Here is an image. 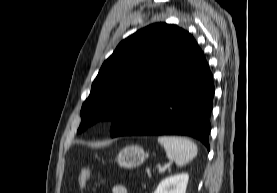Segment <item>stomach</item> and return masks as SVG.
I'll use <instances>...</instances> for the list:
<instances>
[{
    "instance_id": "stomach-1",
    "label": "stomach",
    "mask_w": 277,
    "mask_h": 193,
    "mask_svg": "<svg viewBox=\"0 0 277 193\" xmlns=\"http://www.w3.org/2000/svg\"><path fill=\"white\" fill-rule=\"evenodd\" d=\"M146 157L147 155L142 147L131 145L120 150L116 157V162L122 168L131 169L140 166Z\"/></svg>"
}]
</instances>
